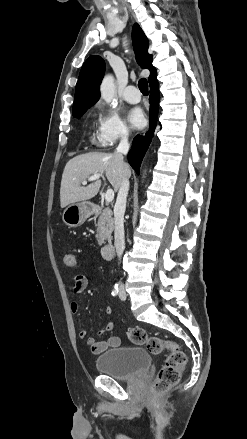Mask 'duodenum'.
Listing matches in <instances>:
<instances>
[{
	"mask_svg": "<svg viewBox=\"0 0 247 439\" xmlns=\"http://www.w3.org/2000/svg\"><path fill=\"white\" fill-rule=\"evenodd\" d=\"M89 210L91 212H96L98 210V208L96 206H91V207H89ZM101 254H102L103 258L111 259L113 257V254H114L113 244L108 243V244L104 245L101 249Z\"/></svg>",
	"mask_w": 247,
	"mask_h": 439,
	"instance_id": "410a0bca",
	"label": "duodenum"
}]
</instances>
